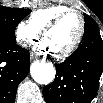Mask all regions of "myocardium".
<instances>
[{
	"mask_svg": "<svg viewBox=\"0 0 103 103\" xmlns=\"http://www.w3.org/2000/svg\"><path fill=\"white\" fill-rule=\"evenodd\" d=\"M75 14L79 17L80 21V28L79 32L74 39V41L64 50L60 52H53V56L57 59H63L71 55L80 45L84 34H85V29H86V22L84 15L81 11L70 8L68 10H65L64 12L60 13L58 16H56L53 20H51L41 31L42 36L44 37L48 32L56 28L67 16Z\"/></svg>",
	"mask_w": 103,
	"mask_h": 103,
	"instance_id": "obj_1",
	"label": "myocardium"
}]
</instances>
